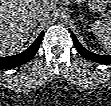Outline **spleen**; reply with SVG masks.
I'll use <instances>...</instances> for the list:
<instances>
[{
  "label": "spleen",
  "mask_w": 111,
  "mask_h": 106,
  "mask_svg": "<svg viewBox=\"0 0 111 106\" xmlns=\"http://www.w3.org/2000/svg\"><path fill=\"white\" fill-rule=\"evenodd\" d=\"M92 31L97 36L104 50L111 52V22L95 21L92 24Z\"/></svg>",
  "instance_id": "spleen-1"
}]
</instances>
